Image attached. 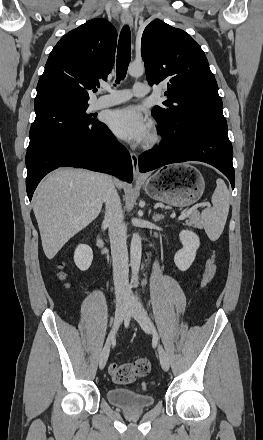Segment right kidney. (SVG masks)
<instances>
[{
  "mask_svg": "<svg viewBox=\"0 0 263 440\" xmlns=\"http://www.w3.org/2000/svg\"><path fill=\"white\" fill-rule=\"evenodd\" d=\"M93 251L88 245L80 244L74 252V262L81 271H86L91 266Z\"/></svg>",
  "mask_w": 263,
  "mask_h": 440,
  "instance_id": "1",
  "label": "right kidney"
}]
</instances>
